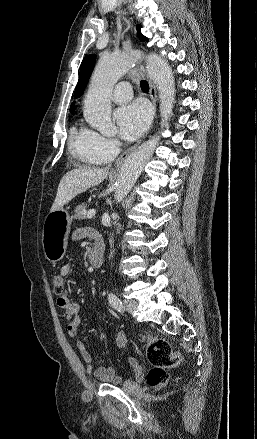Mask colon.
<instances>
[{"label": "colon", "mask_w": 257, "mask_h": 439, "mask_svg": "<svg viewBox=\"0 0 257 439\" xmlns=\"http://www.w3.org/2000/svg\"><path fill=\"white\" fill-rule=\"evenodd\" d=\"M54 291L61 296L64 292L63 277L60 274L53 276ZM146 354L152 368L147 375V385L150 388H160L168 380V369L178 367L182 362V355L171 344L162 338H151L146 345ZM127 387H134L132 381L126 383Z\"/></svg>", "instance_id": "5ec220e1"}]
</instances>
